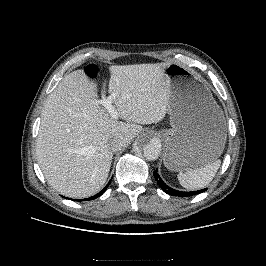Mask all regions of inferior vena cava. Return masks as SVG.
Returning <instances> with one entry per match:
<instances>
[{"label": "inferior vena cava", "instance_id": "1", "mask_svg": "<svg viewBox=\"0 0 266 266\" xmlns=\"http://www.w3.org/2000/svg\"><path fill=\"white\" fill-rule=\"evenodd\" d=\"M107 146L113 152L119 151L125 146V139L122 136H114L108 141Z\"/></svg>", "mask_w": 266, "mask_h": 266}]
</instances>
